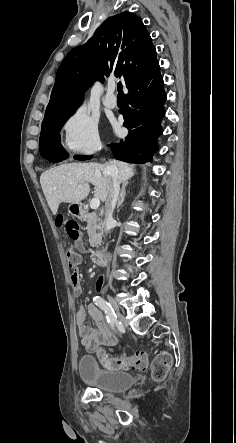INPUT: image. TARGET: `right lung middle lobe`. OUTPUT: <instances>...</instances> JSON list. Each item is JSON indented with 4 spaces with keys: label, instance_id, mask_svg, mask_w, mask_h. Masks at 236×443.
Listing matches in <instances>:
<instances>
[{
    "label": "right lung middle lobe",
    "instance_id": "1",
    "mask_svg": "<svg viewBox=\"0 0 236 443\" xmlns=\"http://www.w3.org/2000/svg\"><path fill=\"white\" fill-rule=\"evenodd\" d=\"M74 111L75 110L64 112L43 120L40 135V151L61 145L59 131Z\"/></svg>",
    "mask_w": 236,
    "mask_h": 443
}]
</instances>
